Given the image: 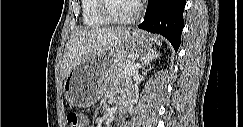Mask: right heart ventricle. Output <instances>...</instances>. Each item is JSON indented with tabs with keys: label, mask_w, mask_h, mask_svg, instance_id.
I'll return each mask as SVG.
<instances>
[{
	"label": "right heart ventricle",
	"mask_w": 243,
	"mask_h": 127,
	"mask_svg": "<svg viewBox=\"0 0 243 127\" xmlns=\"http://www.w3.org/2000/svg\"><path fill=\"white\" fill-rule=\"evenodd\" d=\"M82 22L87 27H100L109 24L101 14L99 0L81 1Z\"/></svg>",
	"instance_id": "right-heart-ventricle-1"
}]
</instances>
